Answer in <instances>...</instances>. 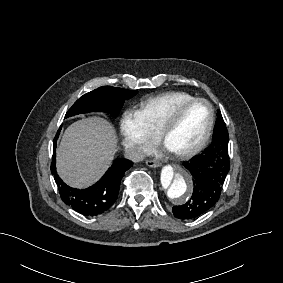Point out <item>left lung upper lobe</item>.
Here are the masks:
<instances>
[{
  "label": "left lung upper lobe",
  "mask_w": 283,
  "mask_h": 283,
  "mask_svg": "<svg viewBox=\"0 0 283 283\" xmlns=\"http://www.w3.org/2000/svg\"><path fill=\"white\" fill-rule=\"evenodd\" d=\"M217 114H219V115L221 114L220 110H218V113H217Z\"/></svg>",
  "instance_id": "5c2ea615"
}]
</instances>
